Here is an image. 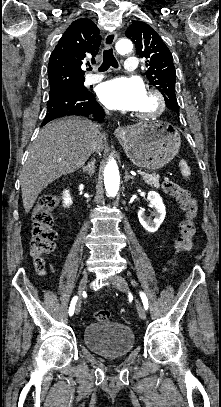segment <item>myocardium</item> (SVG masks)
<instances>
[{"label":"myocardium","mask_w":221,"mask_h":407,"mask_svg":"<svg viewBox=\"0 0 221 407\" xmlns=\"http://www.w3.org/2000/svg\"><path fill=\"white\" fill-rule=\"evenodd\" d=\"M146 94L152 99L154 106L149 111L137 112L136 116L141 119H152L160 116L166 106L163 94L155 88H149L146 91Z\"/></svg>","instance_id":"1"}]
</instances>
